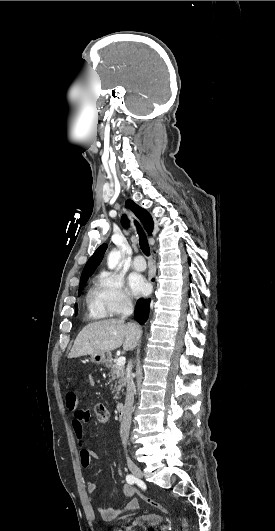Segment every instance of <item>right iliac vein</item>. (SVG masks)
Listing matches in <instances>:
<instances>
[{
  "label": "right iliac vein",
  "mask_w": 275,
  "mask_h": 531,
  "mask_svg": "<svg viewBox=\"0 0 275 531\" xmlns=\"http://www.w3.org/2000/svg\"><path fill=\"white\" fill-rule=\"evenodd\" d=\"M127 465L131 473L137 478H142V470L139 468V466L134 463L129 457H127Z\"/></svg>",
  "instance_id": "63e3f726"
}]
</instances>
